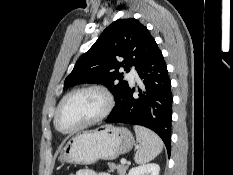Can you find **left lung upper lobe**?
Returning <instances> with one entry per match:
<instances>
[{"label":"left lung upper lobe","mask_w":233,"mask_h":175,"mask_svg":"<svg viewBox=\"0 0 233 175\" xmlns=\"http://www.w3.org/2000/svg\"><path fill=\"white\" fill-rule=\"evenodd\" d=\"M156 42L149 30L138 20L118 19L108 26L94 45L76 62L65 79V88L81 83H101L112 92L116 110L129 89L123 81L120 66L136 70L145 62ZM124 58L120 63L118 58Z\"/></svg>","instance_id":"1"}]
</instances>
